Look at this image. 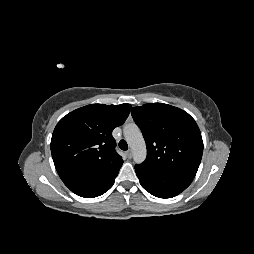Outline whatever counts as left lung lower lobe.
<instances>
[{
    "label": "left lung lower lobe",
    "mask_w": 254,
    "mask_h": 254,
    "mask_svg": "<svg viewBox=\"0 0 254 254\" xmlns=\"http://www.w3.org/2000/svg\"><path fill=\"white\" fill-rule=\"evenodd\" d=\"M142 187L159 198H172L185 190L192 180L153 171L142 164L135 166Z\"/></svg>",
    "instance_id": "1"
}]
</instances>
